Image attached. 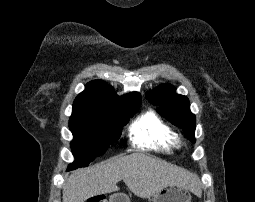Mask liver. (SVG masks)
Masks as SVG:
<instances>
[{
  "label": "liver",
  "instance_id": "liver-1",
  "mask_svg": "<svg viewBox=\"0 0 255 202\" xmlns=\"http://www.w3.org/2000/svg\"><path fill=\"white\" fill-rule=\"evenodd\" d=\"M123 180L132 193L150 198L170 184L198 191L196 175L165 161L134 153L72 173L63 187V202H85L88 198L119 190Z\"/></svg>",
  "mask_w": 255,
  "mask_h": 202
}]
</instances>
